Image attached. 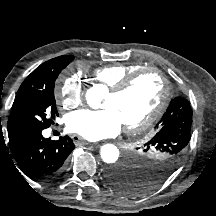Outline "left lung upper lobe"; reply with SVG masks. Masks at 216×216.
I'll use <instances>...</instances> for the list:
<instances>
[{"instance_id": "1", "label": "left lung upper lobe", "mask_w": 216, "mask_h": 216, "mask_svg": "<svg viewBox=\"0 0 216 216\" xmlns=\"http://www.w3.org/2000/svg\"><path fill=\"white\" fill-rule=\"evenodd\" d=\"M191 119L192 109L186 99L176 97L171 100L156 125L157 133L144 145V151L152 152L156 164L151 178L142 179L135 172L132 180L135 196L154 187L177 164L191 139Z\"/></svg>"}]
</instances>
